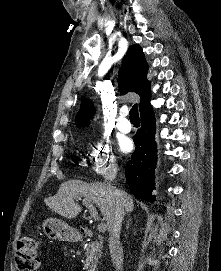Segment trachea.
I'll use <instances>...</instances> for the list:
<instances>
[{"label": "trachea", "mask_w": 221, "mask_h": 271, "mask_svg": "<svg viewBox=\"0 0 221 271\" xmlns=\"http://www.w3.org/2000/svg\"><path fill=\"white\" fill-rule=\"evenodd\" d=\"M129 114H130V121H140L137 104L133 105Z\"/></svg>", "instance_id": "3493384b"}]
</instances>
